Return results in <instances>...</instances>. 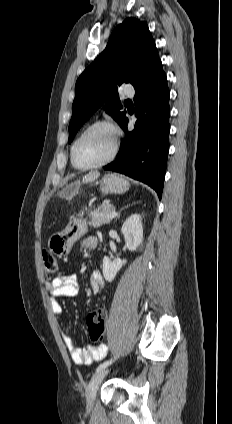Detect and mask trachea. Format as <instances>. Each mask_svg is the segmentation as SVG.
I'll return each mask as SVG.
<instances>
[{
    "mask_svg": "<svg viewBox=\"0 0 232 424\" xmlns=\"http://www.w3.org/2000/svg\"><path fill=\"white\" fill-rule=\"evenodd\" d=\"M124 103H126V104L131 103V100H125Z\"/></svg>",
    "mask_w": 232,
    "mask_h": 424,
    "instance_id": "3493384b",
    "label": "trachea"
}]
</instances>
